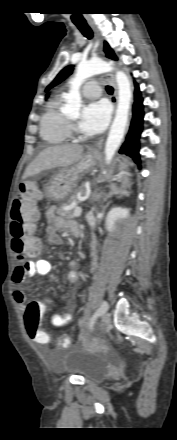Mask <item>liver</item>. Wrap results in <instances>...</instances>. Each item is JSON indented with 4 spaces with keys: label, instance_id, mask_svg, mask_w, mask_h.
Listing matches in <instances>:
<instances>
[{
    "label": "liver",
    "instance_id": "obj_1",
    "mask_svg": "<svg viewBox=\"0 0 177 440\" xmlns=\"http://www.w3.org/2000/svg\"><path fill=\"white\" fill-rule=\"evenodd\" d=\"M83 146L77 144L57 145L41 151L26 168L23 179L56 167H69L77 163L83 153Z\"/></svg>",
    "mask_w": 177,
    "mask_h": 440
}]
</instances>
